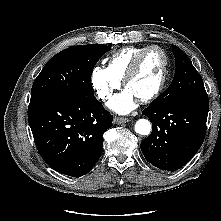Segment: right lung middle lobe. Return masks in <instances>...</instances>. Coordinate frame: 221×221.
Returning a JSON list of instances; mask_svg holds the SVG:
<instances>
[{
    "label": "right lung middle lobe",
    "instance_id": "dd1d6c3e",
    "mask_svg": "<svg viewBox=\"0 0 221 221\" xmlns=\"http://www.w3.org/2000/svg\"><path fill=\"white\" fill-rule=\"evenodd\" d=\"M110 48L103 44L78 45L51 58L35 79L30 102L51 97L94 96L92 70Z\"/></svg>",
    "mask_w": 221,
    "mask_h": 221
}]
</instances>
